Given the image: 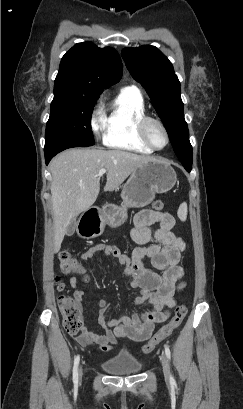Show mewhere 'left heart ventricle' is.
<instances>
[{"mask_svg":"<svg viewBox=\"0 0 243 409\" xmlns=\"http://www.w3.org/2000/svg\"><path fill=\"white\" fill-rule=\"evenodd\" d=\"M148 134L152 143L156 147H163L166 143V137L163 130L155 123H151L148 126Z\"/></svg>","mask_w":243,"mask_h":409,"instance_id":"1","label":"left heart ventricle"}]
</instances>
